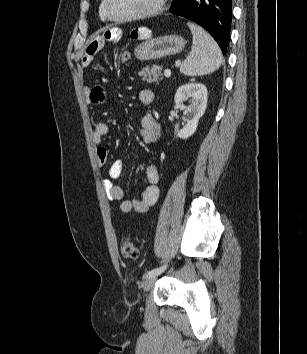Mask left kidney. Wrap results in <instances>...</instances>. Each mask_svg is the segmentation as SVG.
Returning a JSON list of instances; mask_svg holds the SVG:
<instances>
[{
	"mask_svg": "<svg viewBox=\"0 0 307 354\" xmlns=\"http://www.w3.org/2000/svg\"><path fill=\"white\" fill-rule=\"evenodd\" d=\"M207 94V88L200 83H188L177 89L174 101L176 106L184 111L187 119V124L177 133V137L187 139L195 133L198 121L207 107ZM187 99L189 106L184 105Z\"/></svg>",
	"mask_w": 307,
	"mask_h": 354,
	"instance_id": "5707ae66",
	"label": "left kidney"
}]
</instances>
